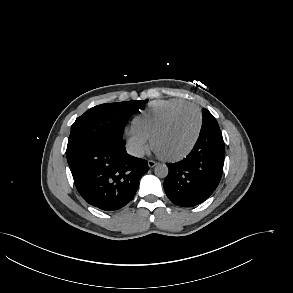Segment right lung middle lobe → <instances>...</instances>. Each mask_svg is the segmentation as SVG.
Wrapping results in <instances>:
<instances>
[{
    "label": "right lung middle lobe",
    "instance_id": "obj_1",
    "mask_svg": "<svg viewBox=\"0 0 293 293\" xmlns=\"http://www.w3.org/2000/svg\"><path fill=\"white\" fill-rule=\"evenodd\" d=\"M148 100L107 103L78 117L71 127L66 155L105 139H122L127 121Z\"/></svg>",
    "mask_w": 293,
    "mask_h": 293
}]
</instances>
